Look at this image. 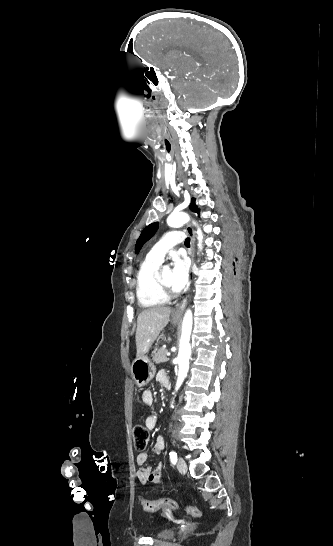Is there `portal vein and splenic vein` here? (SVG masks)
Returning <instances> with one entry per match:
<instances>
[{"label":"portal vein and splenic vein","instance_id":"obj_1","mask_svg":"<svg viewBox=\"0 0 333 546\" xmlns=\"http://www.w3.org/2000/svg\"><path fill=\"white\" fill-rule=\"evenodd\" d=\"M166 355H167V356H170V355H171V353H170V352H167V353H166Z\"/></svg>","mask_w":333,"mask_h":546}]
</instances>
